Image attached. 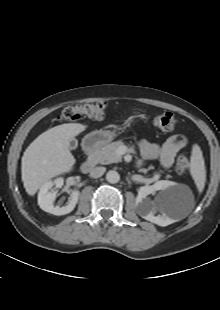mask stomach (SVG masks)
I'll use <instances>...</instances> for the list:
<instances>
[{
    "instance_id": "stomach-1",
    "label": "stomach",
    "mask_w": 220,
    "mask_h": 310,
    "mask_svg": "<svg viewBox=\"0 0 220 310\" xmlns=\"http://www.w3.org/2000/svg\"><path fill=\"white\" fill-rule=\"evenodd\" d=\"M115 133L109 130H96L85 136L84 142L91 148L100 147L113 140Z\"/></svg>"
}]
</instances>
